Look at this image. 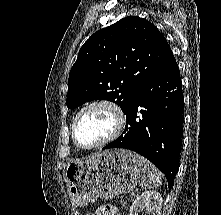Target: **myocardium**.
Here are the masks:
<instances>
[{
	"label": "myocardium",
	"mask_w": 221,
	"mask_h": 215,
	"mask_svg": "<svg viewBox=\"0 0 221 215\" xmlns=\"http://www.w3.org/2000/svg\"><path fill=\"white\" fill-rule=\"evenodd\" d=\"M96 106H103V107H106L109 110H111V112L114 116V119H115V126H114L112 133L108 137H106L105 139L100 141L99 143H96V144L90 145V146H84L77 139L76 126H77L78 120L81 117V115L86 110H88L92 107H96ZM125 125H126L125 114L123 113L121 107L116 102H114L110 99H104V98L95 99V100H92V101L86 103L85 105H83L76 113V115L73 119V122H72V126H71L72 139H73L75 145L81 149H84V150L97 149V148L103 147V146L113 142L114 140H116L123 132Z\"/></svg>",
	"instance_id": "myocardium-1"
}]
</instances>
